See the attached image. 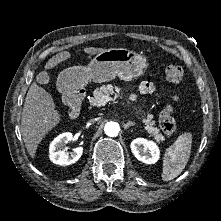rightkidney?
I'll return each mask as SVG.
<instances>
[{
    "label": "right kidney",
    "mask_w": 221,
    "mask_h": 221,
    "mask_svg": "<svg viewBox=\"0 0 221 221\" xmlns=\"http://www.w3.org/2000/svg\"><path fill=\"white\" fill-rule=\"evenodd\" d=\"M73 135L65 132L57 136L50 144L49 157L50 160L58 165H70L80 159L83 153V147L75 148L70 154L63 150L65 143L71 141Z\"/></svg>",
    "instance_id": "ca27d5eb"
}]
</instances>
